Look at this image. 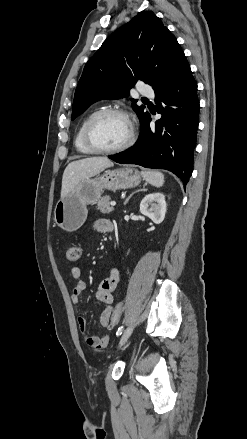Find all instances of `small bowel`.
Wrapping results in <instances>:
<instances>
[{"label": "small bowel", "mask_w": 247, "mask_h": 439, "mask_svg": "<svg viewBox=\"0 0 247 439\" xmlns=\"http://www.w3.org/2000/svg\"><path fill=\"white\" fill-rule=\"evenodd\" d=\"M113 223L107 219H99L94 225L93 229L99 233L110 232V227ZM71 277L76 280V284L71 293V300L74 304H78L81 295L86 290V283L81 280V269L79 266H74L71 268ZM120 273L115 267L111 268L109 275L101 281L96 292V298L105 303L107 306L104 308L100 315V324L103 327H107L110 323V316L113 310L114 296L113 292L117 287L119 281ZM79 330L84 338L85 343L93 349H103L106 348L109 343V337H97L92 336L88 333L86 320L83 316L78 317Z\"/></svg>", "instance_id": "obj_1"}]
</instances>
